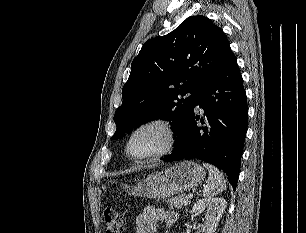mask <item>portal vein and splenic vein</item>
<instances>
[{"label": "portal vein and splenic vein", "mask_w": 306, "mask_h": 233, "mask_svg": "<svg viewBox=\"0 0 306 233\" xmlns=\"http://www.w3.org/2000/svg\"><path fill=\"white\" fill-rule=\"evenodd\" d=\"M188 198H189V199H192V198H193V194H189V195H188Z\"/></svg>", "instance_id": "portal-vein-and-splenic-vein-1"}]
</instances>
